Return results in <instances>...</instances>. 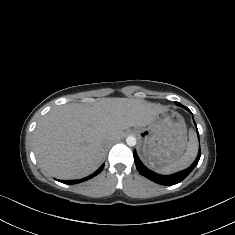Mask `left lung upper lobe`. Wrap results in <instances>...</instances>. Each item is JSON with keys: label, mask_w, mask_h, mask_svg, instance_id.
<instances>
[{"label": "left lung upper lobe", "mask_w": 235, "mask_h": 235, "mask_svg": "<svg viewBox=\"0 0 235 235\" xmlns=\"http://www.w3.org/2000/svg\"><path fill=\"white\" fill-rule=\"evenodd\" d=\"M176 104L179 105V106L185 107V106L181 105L179 102H176Z\"/></svg>", "instance_id": "left-lung-upper-lobe-1"}]
</instances>
